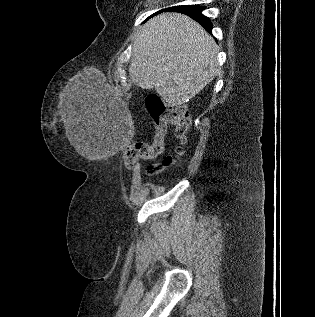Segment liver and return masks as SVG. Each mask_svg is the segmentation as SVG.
I'll return each instance as SVG.
<instances>
[{"label":"liver","mask_w":315,"mask_h":317,"mask_svg":"<svg viewBox=\"0 0 315 317\" xmlns=\"http://www.w3.org/2000/svg\"><path fill=\"white\" fill-rule=\"evenodd\" d=\"M219 48L197 22L180 13H163L146 22L136 38L129 66L133 84L155 88L172 106L195 97L216 73ZM73 103V105H72ZM68 97L63 123L76 151L88 156L82 117Z\"/></svg>","instance_id":"obj_1"}]
</instances>
